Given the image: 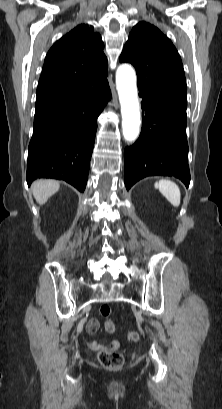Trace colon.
<instances>
[{
	"label": "colon",
	"instance_id": "obj_1",
	"mask_svg": "<svg viewBox=\"0 0 222 409\" xmlns=\"http://www.w3.org/2000/svg\"><path fill=\"white\" fill-rule=\"evenodd\" d=\"M100 313L102 316L108 317L111 313L110 306L107 304L102 305ZM105 328L110 333L115 331V325L110 320L106 322ZM127 337L131 342H137L140 339V335L137 331L128 332ZM98 359L99 362L108 369H119L124 365V356L112 350H101L98 354Z\"/></svg>",
	"mask_w": 222,
	"mask_h": 409
}]
</instances>
